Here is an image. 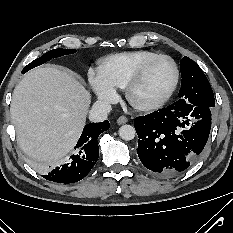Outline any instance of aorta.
Wrapping results in <instances>:
<instances>
[{
    "instance_id": "obj_1",
    "label": "aorta",
    "mask_w": 233,
    "mask_h": 233,
    "mask_svg": "<svg viewBox=\"0 0 233 233\" xmlns=\"http://www.w3.org/2000/svg\"><path fill=\"white\" fill-rule=\"evenodd\" d=\"M136 131L131 125H123L119 128V136L126 141L134 139Z\"/></svg>"
}]
</instances>
